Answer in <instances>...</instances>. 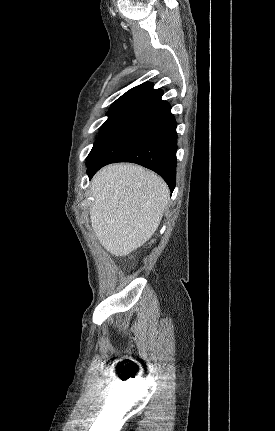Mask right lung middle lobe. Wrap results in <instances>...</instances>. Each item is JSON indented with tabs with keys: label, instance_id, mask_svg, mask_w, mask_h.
Listing matches in <instances>:
<instances>
[{
	"label": "right lung middle lobe",
	"instance_id": "obj_1",
	"mask_svg": "<svg viewBox=\"0 0 275 431\" xmlns=\"http://www.w3.org/2000/svg\"><path fill=\"white\" fill-rule=\"evenodd\" d=\"M133 112H113L107 113L108 119L102 125L99 137L97 138L91 152L87 158V166L93 161L104 146L112 137L130 120L134 115Z\"/></svg>",
	"mask_w": 275,
	"mask_h": 431
}]
</instances>
